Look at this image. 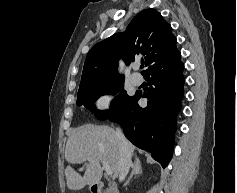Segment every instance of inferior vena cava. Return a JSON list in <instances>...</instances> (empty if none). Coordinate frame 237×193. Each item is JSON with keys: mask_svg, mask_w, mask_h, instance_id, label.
Instances as JSON below:
<instances>
[{"mask_svg": "<svg viewBox=\"0 0 237 193\" xmlns=\"http://www.w3.org/2000/svg\"><path fill=\"white\" fill-rule=\"evenodd\" d=\"M116 136L119 141L120 157H119V181H123L129 172L131 166V153L128 141L126 140L120 128L116 129Z\"/></svg>", "mask_w": 237, "mask_h": 193, "instance_id": "1", "label": "inferior vena cava"}]
</instances>
